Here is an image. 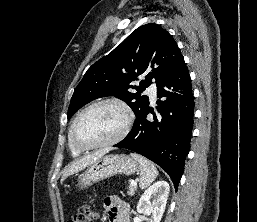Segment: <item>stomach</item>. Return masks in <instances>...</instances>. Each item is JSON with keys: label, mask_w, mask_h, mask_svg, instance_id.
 Here are the masks:
<instances>
[{"label": "stomach", "mask_w": 257, "mask_h": 222, "mask_svg": "<svg viewBox=\"0 0 257 222\" xmlns=\"http://www.w3.org/2000/svg\"><path fill=\"white\" fill-rule=\"evenodd\" d=\"M137 170V161L128 155H106L94 162L78 177V185L83 189L116 174L132 175Z\"/></svg>", "instance_id": "0dacf381"}]
</instances>
